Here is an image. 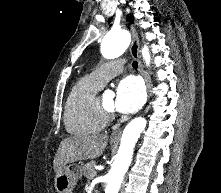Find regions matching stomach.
Listing matches in <instances>:
<instances>
[{"label":"stomach","instance_id":"stomach-1","mask_svg":"<svg viewBox=\"0 0 221 193\" xmlns=\"http://www.w3.org/2000/svg\"><path fill=\"white\" fill-rule=\"evenodd\" d=\"M81 176V166L77 164L65 165L56 172L55 189L58 193H72Z\"/></svg>","mask_w":221,"mask_h":193}]
</instances>
